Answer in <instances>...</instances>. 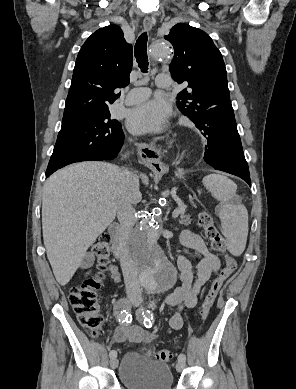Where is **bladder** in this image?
<instances>
[{"label": "bladder", "mask_w": 296, "mask_h": 389, "mask_svg": "<svg viewBox=\"0 0 296 389\" xmlns=\"http://www.w3.org/2000/svg\"><path fill=\"white\" fill-rule=\"evenodd\" d=\"M118 377L127 389H171L170 367L137 351L126 352L120 362Z\"/></svg>", "instance_id": "obj_1"}]
</instances>
